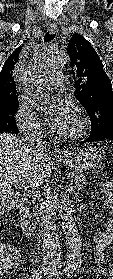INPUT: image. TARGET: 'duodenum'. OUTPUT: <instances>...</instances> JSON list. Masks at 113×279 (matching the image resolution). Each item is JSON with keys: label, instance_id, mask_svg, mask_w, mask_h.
I'll list each match as a JSON object with an SVG mask.
<instances>
[{"label": "duodenum", "instance_id": "410a0bca", "mask_svg": "<svg viewBox=\"0 0 113 279\" xmlns=\"http://www.w3.org/2000/svg\"><path fill=\"white\" fill-rule=\"evenodd\" d=\"M19 218H20V224L23 229V232L27 236H30V237L33 236L35 229L31 222V214H30V210L28 207L22 206L20 208Z\"/></svg>", "mask_w": 113, "mask_h": 279}]
</instances>
